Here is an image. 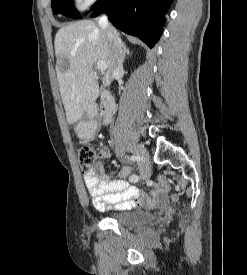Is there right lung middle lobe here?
I'll return each instance as SVG.
<instances>
[{"mask_svg": "<svg viewBox=\"0 0 247 275\" xmlns=\"http://www.w3.org/2000/svg\"><path fill=\"white\" fill-rule=\"evenodd\" d=\"M105 0H98L92 9L97 7L99 4L103 3ZM52 9L55 14H63L65 16L78 18L79 13L76 11L74 7V1L73 0H52Z\"/></svg>", "mask_w": 247, "mask_h": 275, "instance_id": "right-lung-middle-lobe-1", "label": "right lung middle lobe"}]
</instances>
